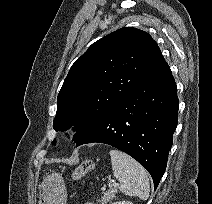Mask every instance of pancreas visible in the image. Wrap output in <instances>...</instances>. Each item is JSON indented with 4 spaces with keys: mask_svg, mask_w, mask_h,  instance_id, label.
Instances as JSON below:
<instances>
[{
    "mask_svg": "<svg viewBox=\"0 0 212 204\" xmlns=\"http://www.w3.org/2000/svg\"><path fill=\"white\" fill-rule=\"evenodd\" d=\"M117 189L110 188L108 191L103 193V196L101 199H98L97 201L101 204H107L110 200L114 199L116 197Z\"/></svg>",
    "mask_w": 212,
    "mask_h": 204,
    "instance_id": "pancreas-1",
    "label": "pancreas"
}]
</instances>
